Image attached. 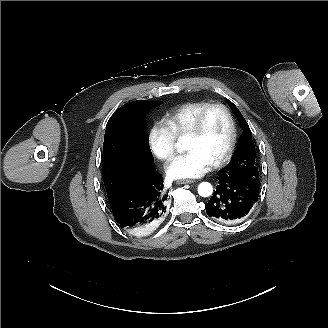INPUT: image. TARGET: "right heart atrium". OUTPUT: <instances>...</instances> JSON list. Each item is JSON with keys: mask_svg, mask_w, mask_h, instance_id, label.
<instances>
[{"mask_svg": "<svg viewBox=\"0 0 328 328\" xmlns=\"http://www.w3.org/2000/svg\"><path fill=\"white\" fill-rule=\"evenodd\" d=\"M148 144L152 154L163 161L176 153L175 138L161 121H155L150 125Z\"/></svg>", "mask_w": 328, "mask_h": 328, "instance_id": "d8ad5b80", "label": "right heart atrium"}]
</instances>
